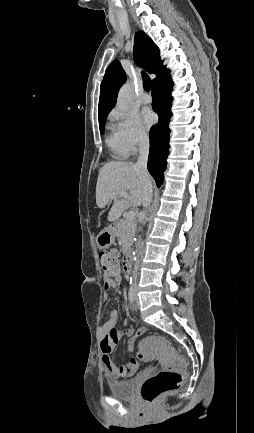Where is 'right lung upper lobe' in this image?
Returning <instances> with one entry per match:
<instances>
[{
	"mask_svg": "<svg viewBox=\"0 0 254 433\" xmlns=\"http://www.w3.org/2000/svg\"><path fill=\"white\" fill-rule=\"evenodd\" d=\"M134 59L136 63L143 66L150 74L156 75V78L153 79V85L169 71L162 64L163 61L160 59L158 47L143 31H138L134 37ZM125 81V71L120 62L114 60L106 69L100 86L99 122L106 120V117L116 103L118 91Z\"/></svg>",
	"mask_w": 254,
	"mask_h": 433,
	"instance_id": "right-lung-upper-lobe-1",
	"label": "right lung upper lobe"
}]
</instances>
